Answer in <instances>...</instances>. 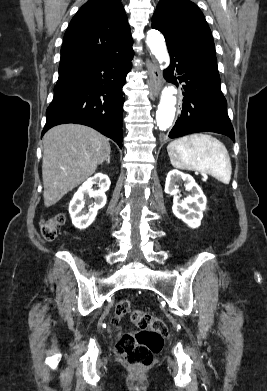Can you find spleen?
<instances>
[{
	"label": "spleen",
	"mask_w": 267,
	"mask_h": 391,
	"mask_svg": "<svg viewBox=\"0 0 267 391\" xmlns=\"http://www.w3.org/2000/svg\"><path fill=\"white\" fill-rule=\"evenodd\" d=\"M171 164L178 169L204 172L229 184L232 166L224 144L211 135L196 133L172 141L167 146Z\"/></svg>",
	"instance_id": "spleen-1"
}]
</instances>
